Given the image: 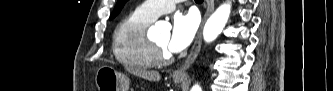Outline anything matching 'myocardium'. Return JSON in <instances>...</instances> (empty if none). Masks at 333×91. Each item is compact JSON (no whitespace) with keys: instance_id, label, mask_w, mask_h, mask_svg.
<instances>
[{"instance_id":"myocardium-1","label":"myocardium","mask_w":333,"mask_h":91,"mask_svg":"<svg viewBox=\"0 0 333 91\" xmlns=\"http://www.w3.org/2000/svg\"><path fill=\"white\" fill-rule=\"evenodd\" d=\"M148 42L151 49V56L155 64L167 65L172 61L173 57L167 50L161 48L152 40H148Z\"/></svg>"}]
</instances>
